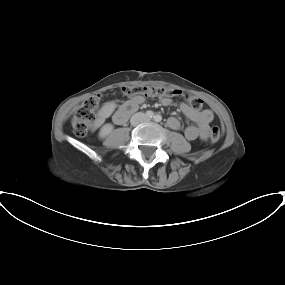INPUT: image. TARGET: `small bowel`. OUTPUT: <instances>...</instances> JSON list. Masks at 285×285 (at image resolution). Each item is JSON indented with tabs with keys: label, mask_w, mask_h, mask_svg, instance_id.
<instances>
[{
	"label": "small bowel",
	"mask_w": 285,
	"mask_h": 285,
	"mask_svg": "<svg viewBox=\"0 0 285 285\" xmlns=\"http://www.w3.org/2000/svg\"><path fill=\"white\" fill-rule=\"evenodd\" d=\"M144 96L137 95L132 97L126 103H133L136 107L144 102ZM161 103L165 106L170 105L172 100L170 98L164 97L161 99ZM180 111L190 120L196 123L195 126H187L184 130V136L188 140H196L198 138L206 139L210 123L214 119V114L210 109L196 110L189 105L182 103L180 104ZM168 126L173 130H178L180 128V122L175 117H170L167 121Z\"/></svg>",
	"instance_id": "1"
}]
</instances>
